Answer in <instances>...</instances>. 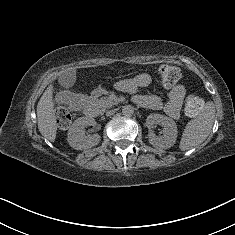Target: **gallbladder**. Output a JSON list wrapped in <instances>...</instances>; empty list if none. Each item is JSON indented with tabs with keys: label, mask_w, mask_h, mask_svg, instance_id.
I'll return each instance as SVG.
<instances>
[{
	"label": "gallbladder",
	"mask_w": 235,
	"mask_h": 235,
	"mask_svg": "<svg viewBox=\"0 0 235 235\" xmlns=\"http://www.w3.org/2000/svg\"><path fill=\"white\" fill-rule=\"evenodd\" d=\"M72 82L65 83L64 86H69Z\"/></svg>",
	"instance_id": "bac80fb5"
}]
</instances>
